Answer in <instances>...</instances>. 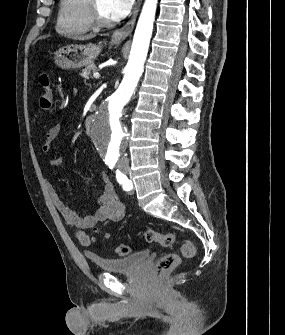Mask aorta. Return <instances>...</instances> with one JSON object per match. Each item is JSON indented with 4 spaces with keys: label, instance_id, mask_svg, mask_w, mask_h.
<instances>
[{
    "label": "aorta",
    "instance_id": "obj_1",
    "mask_svg": "<svg viewBox=\"0 0 285 335\" xmlns=\"http://www.w3.org/2000/svg\"><path fill=\"white\" fill-rule=\"evenodd\" d=\"M156 8L157 0H145L128 64L124 68V78L118 90H111L108 100H102V105H98L94 125L88 127V134L95 137L94 147H101L99 155L104 156L105 160H118L122 152H126L130 130H127V125H121L119 116L125 104L134 97V90L144 72Z\"/></svg>",
    "mask_w": 285,
    "mask_h": 335
}]
</instances>
